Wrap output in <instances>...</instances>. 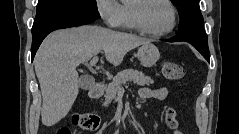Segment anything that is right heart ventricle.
Instances as JSON below:
<instances>
[{
  "label": "right heart ventricle",
  "mask_w": 239,
  "mask_h": 134,
  "mask_svg": "<svg viewBox=\"0 0 239 134\" xmlns=\"http://www.w3.org/2000/svg\"><path fill=\"white\" fill-rule=\"evenodd\" d=\"M133 0L124 1L121 6V22L120 26L125 29H134L131 14H130V6Z\"/></svg>",
  "instance_id": "right-heart-ventricle-1"
}]
</instances>
